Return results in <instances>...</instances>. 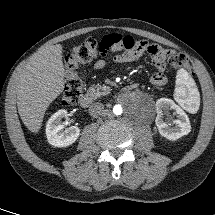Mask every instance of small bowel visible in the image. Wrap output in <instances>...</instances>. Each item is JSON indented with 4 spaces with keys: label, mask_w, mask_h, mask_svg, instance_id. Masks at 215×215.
Here are the masks:
<instances>
[{
    "label": "small bowel",
    "mask_w": 215,
    "mask_h": 215,
    "mask_svg": "<svg viewBox=\"0 0 215 215\" xmlns=\"http://www.w3.org/2000/svg\"><path fill=\"white\" fill-rule=\"evenodd\" d=\"M100 46V58L94 63L92 67L93 71L101 70L106 66V54L108 51L114 53L113 61L119 64L135 61L147 53L151 57L152 63L157 70L151 76L150 82L155 86H164L167 83V77L165 75L167 49L145 40L136 41L131 36H123L120 34L104 36L100 42Z\"/></svg>",
    "instance_id": "obj_1"
}]
</instances>
